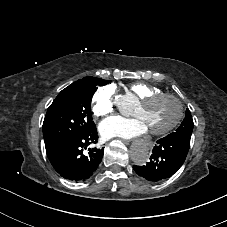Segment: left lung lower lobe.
Instances as JSON below:
<instances>
[{
    "instance_id": "1",
    "label": "left lung lower lobe",
    "mask_w": 227,
    "mask_h": 227,
    "mask_svg": "<svg viewBox=\"0 0 227 227\" xmlns=\"http://www.w3.org/2000/svg\"><path fill=\"white\" fill-rule=\"evenodd\" d=\"M190 140L167 136L157 141L150 161L143 166H133L138 175L149 181H161L172 176L184 163Z\"/></svg>"
}]
</instances>
